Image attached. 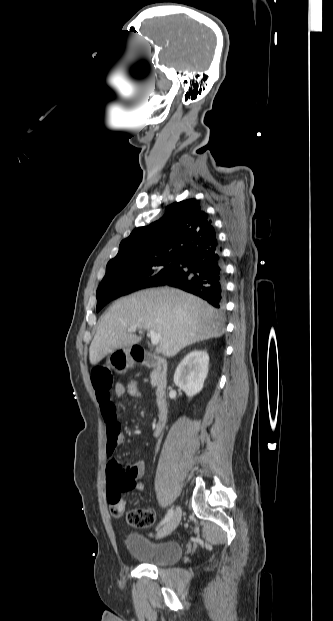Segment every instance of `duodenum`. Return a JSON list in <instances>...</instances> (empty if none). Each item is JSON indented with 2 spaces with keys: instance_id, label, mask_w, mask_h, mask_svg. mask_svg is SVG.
Instances as JSON below:
<instances>
[{
  "instance_id": "duodenum-1",
  "label": "duodenum",
  "mask_w": 333,
  "mask_h": 621,
  "mask_svg": "<svg viewBox=\"0 0 333 621\" xmlns=\"http://www.w3.org/2000/svg\"><path fill=\"white\" fill-rule=\"evenodd\" d=\"M131 355L136 363L154 370L156 399L158 405V416L154 425V435H159L164 430L168 420V404L166 400L167 363L162 358L150 354L138 347H134L132 349Z\"/></svg>"
}]
</instances>
